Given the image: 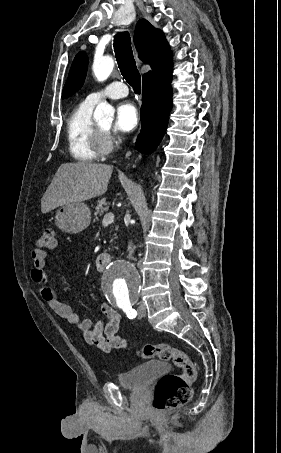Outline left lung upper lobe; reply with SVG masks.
I'll return each mask as SVG.
<instances>
[{"instance_id":"left-lung-upper-lobe-1","label":"left lung upper lobe","mask_w":281,"mask_h":453,"mask_svg":"<svg viewBox=\"0 0 281 453\" xmlns=\"http://www.w3.org/2000/svg\"><path fill=\"white\" fill-rule=\"evenodd\" d=\"M87 62V56L84 52L76 55L63 88L62 98L72 95L82 86L86 76Z\"/></svg>"}]
</instances>
